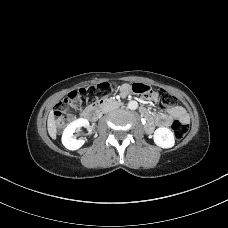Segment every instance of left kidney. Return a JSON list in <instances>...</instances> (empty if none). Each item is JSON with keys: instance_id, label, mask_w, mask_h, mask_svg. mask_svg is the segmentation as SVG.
<instances>
[{"instance_id": "5707ae66", "label": "left kidney", "mask_w": 228, "mask_h": 228, "mask_svg": "<svg viewBox=\"0 0 228 228\" xmlns=\"http://www.w3.org/2000/svg\"><path fill=\"white\" fill-rule=\"evenodd\" d=\"M154 142L161 148H171L175 143L174 134L166 127L157 128L154 132Z\"/></svg>"}]
</instances>
